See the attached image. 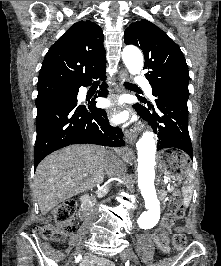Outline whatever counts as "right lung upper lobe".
Returning <instances> with one entry per match:
<instances>
[{"instance_id": "right-lung-upper-lobe-1", "label": "right lung upper lobe", "mask_w": 221, "mask_h": 266, "mask_svg": "<svg viewBox=\"0 0 221 266\" xmlns=\"http://www.w3.org/2000/svg\"><path fill=\"white\" fill-rule=\"evenodd\" d=\"M100 26L89 20L72 25L48 50L37 87H75L105 72L106 58Z\"/></svg>"}]
</instances>
